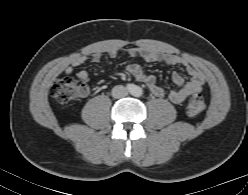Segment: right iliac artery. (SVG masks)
I'll return each instance as SVG.
<instances>
[{
	"mask_svg": "<svg viewBox=\"0 0 248 195\" xmlns=\"http://www.w3.org/2000/svg\"><path fill=\"white\" fill-rule=\"evenodd\" d=\"M126 88L129 90V91H133L135 89V85L134 84H131V83H128L126 84Z\"/></svg>",
	"mask_w": 248,
	"mask_h": 195,
	"instance_id": "82829eb1",
	"label": "right iliac artery"
}]
</instances>
